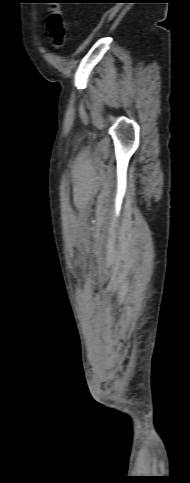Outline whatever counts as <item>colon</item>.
Masks as SVG:
<instances>
[{
	"instance_id": "obj_1",
	"label": "colon",
	"mask_w": 190,
	"mask_h": 483,
	"mask_svg": "<svg viewBox=\"0 0 190 483\" xmlns=\"http://www.w3.org/2000/svg\"><path fill=\"white\" fill-rule=\"evenodd\" d=\"M46 27L52 46L55 49H61L66 42V28L60 10L55 9L50 13Z\"/></svg>"
}]
</instances>
